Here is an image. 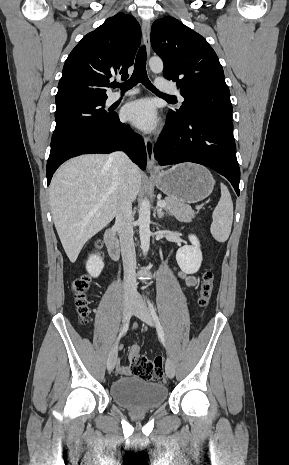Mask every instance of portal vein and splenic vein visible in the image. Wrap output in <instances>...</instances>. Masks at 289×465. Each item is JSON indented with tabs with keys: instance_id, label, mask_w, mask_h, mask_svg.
I'll use <instances>...</instances> for the list:
<instances>
[{
	"instance_id": "portal-vein-and-splenic-vein-1",
	"label": "portal vein and splenic vein",
	"mask_w": 289,
	"mask_h": 465,
	"mask_svg": "<svg viewBox=\"0 0 289 465\" xmlns=\"http://www.w3.org/2000/svg\"><path fill=\"white\" fill-rule=\"evenodd\" d=\"M157 205L160 206V207H164L166 205V202L164 200H159L157 202Z\"/></svg>"
}]
</instances>
